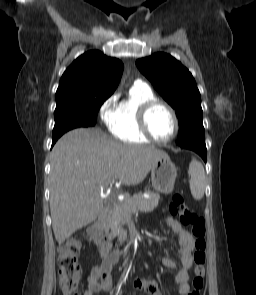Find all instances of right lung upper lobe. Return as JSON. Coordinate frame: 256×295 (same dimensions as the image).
Segmentation results:
<instances>
[{
    "label": "right lung upper lobe",
    "mask_w": 256,
    "mask_h": 295,
    "mask_svg": "<svg viewBox=\"0 0 256 295\" xmlns=\"http://www.w3.org/2000/svg\"><path fill=\"white\" fill-rule=\"evenodd\" d=\"M123 64L98 50L79 56L64 72L56 92V104L108 98L117 88Z\"/></svg>",
    "instance_id": "right-lung-upper-lobe-1"
}]
</instances>
